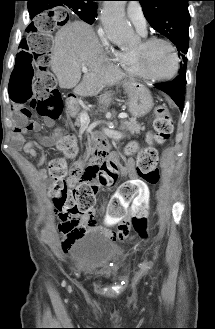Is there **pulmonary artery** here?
<instances>
[{"mask_svg":"<svg viewBox=\"0 0 215 329\" xmlns=\"http://www.w3.org/2000/svg\"><path fill=\"white\" fill-rule=\"evenodd\" d=\"M127 16L137 30L145 35L146 34V19L144 17L142 7L139 3H130L127 7Z\"/></svg>","mask_w":215,"mask_h":329,"instance_id":"obj_1","label":"pulmonary artery"}]
</instances>
